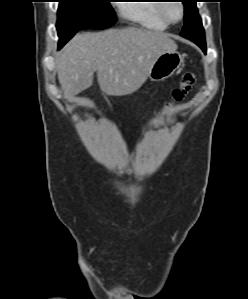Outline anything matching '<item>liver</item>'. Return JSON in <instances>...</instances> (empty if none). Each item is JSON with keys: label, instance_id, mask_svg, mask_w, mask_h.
<instances>
[{"label": "liver", "instance_id": "obj_1", "mask_svg": "<svg viewBox=\"0 0 248 299\" xmlns=\"http://www.w3.org/2000/svg\"><path fill=\"white\" fill-rule=\"evenodd\" d=\"M176 49L168 34L136 27L77 34L56 60L58 80L70 98L89 88L97 71L105 94L129 95L145 83L160 55Z\"/></svg>", "mask_w": 248, "mask_h": 299}]
</instances>
